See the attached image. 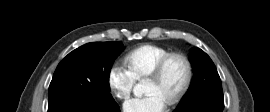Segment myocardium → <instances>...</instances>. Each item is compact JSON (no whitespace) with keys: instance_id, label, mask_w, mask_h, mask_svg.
<instances>
[{"instance_id":"f54148a6","label":"myocardium","mask_w":270,"mask_h":112,"mask_svg":"<svg viewBox=\"0 0 270 112\" xmlns=\"http://www.w3.org/2000/svg\"><path fill=\"white\" fill-rule=\"evenodd\" d=\"M176 58L181 59L184 62L186 67V76L178 93L167 102V104L170 106L178 104L184 98L191 86L193 79V65L189 57L180 52H171L170 54L162 58L160 62L156 65V67L152 70V72L147 76V79H161L169 63Z\"/></svg>"}]
</instances>
